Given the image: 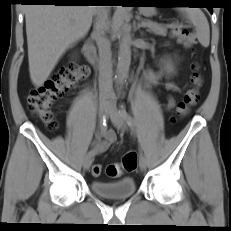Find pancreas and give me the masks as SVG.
Returning <instances> with one entry per match:
<instances>
[{
  "label": "pancreas",
  "instance_id": "obj_1",
  "mask_svg": "<svg viewBox=\"0 0 231 231\" xmlns=\"http://www.w3.org/2000/svg\"><path fill=\"white\" fill-rule=\"evenodd\" d=\"M145 22L147 23V27L149 28L150 32H153L157 35L166 36L167 27L155 22H151L149 20H146Z\"/></svg>",
  "mask_w": 231,
  "mask_h": 231
}]
</instances>
